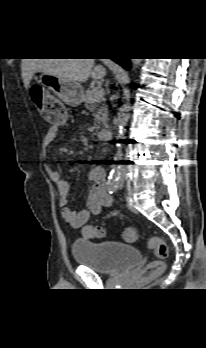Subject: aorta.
<instances>
[{"instance_id":"1","label":"aorta","mask_w":206,"mask_h":348,"mask_svg":"<svg viewBox=\"0 0 206 348\" xmlns=\"http://www.w3.org/2000/svg\"><path fill=\"white\" fill-rule=\"evenodd\" d=\"M142 59H132L131 63H132V67L133 68H137L140 63H141ZM129 107L124 105L119 109V113H118V138H121L124 136L125 132H126V125L129 119ZM117 147L120 150L121 145L120 143H117Z\"/></svg>"}]
</instances>
